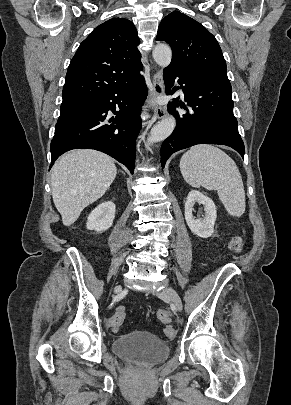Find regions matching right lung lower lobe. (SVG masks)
Returning a JSON list of instances; mask_svg holds the SVG:
<instances>
[{
  "instance_id": "right-lung-lower-lobe-1",
  "label": "right lung lower lobe",
  "mask_w": 291,
  "mask_h": 405,
  "mask_svg": "<svg viewBox=\"0 0 291 405\" xmlns=\"http://www.w3.org/2000/svg\"><path fill=\"white\" fill-rule=\"evenodd\" d=\"M147 96L143 76L136 74L126 82L108 88L91 104L58 121L51 141V166L64 152L76 148L104 152L133 174L136 138L141 129L140 102ZM116 107L120 110L115 111ZM111 110L115 117L109 118Z\"/></svg>"
}]
</instances>
